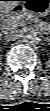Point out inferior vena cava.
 <instances>
[{
  "label": "inferior vena cava",
  "mask_w": 50,
  "mask_h": 111,
  "mask_svg": "<svg viewBox=\"0 0 50 111\" xmlns=\"http://www.w3.org/2000/svg\"><path fill=\"white\" fill-rule=\"evenodd\" d=\"M19 35H20L19 30L13 29V30H9L5 32L3 34V38L5 41L9 42V41H14L15 39H17Z\"/></svg>",
  "instance_id": "1"
}]
</instances>
